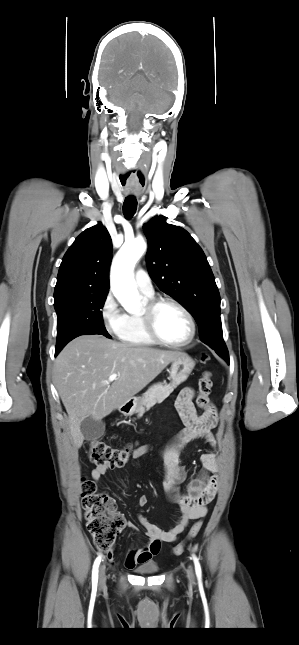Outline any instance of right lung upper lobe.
I'll return each instance as SVG.
<instances>
[{
  "label": "right lung upper lobe",
  "instance_id": "1",
  "mask_svg": "<svg viewBox=\"0 0 299 645\" xmlns=\"http://www.w3.org/2000/svg\"><path fill=\"white\" fill-rule=\"evenodd\" d=\"M111 254V237L101 223L81 233L63 257L54 303L71 295L108 293Z\"/></svg>",
  "mask_w": 299,
  "mask_h": 645
}]
</instances>
